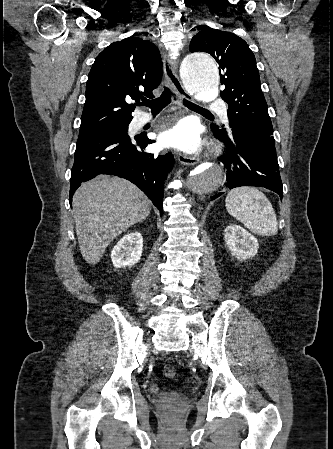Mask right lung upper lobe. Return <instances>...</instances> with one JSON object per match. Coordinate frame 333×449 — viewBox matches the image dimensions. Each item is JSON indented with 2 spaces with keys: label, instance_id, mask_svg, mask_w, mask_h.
I'll return each instance as SVG.
<instances>
[{
  "label": "right lung upper lobe",
  "instance_id": "obj_1",
  "mask_svg": "<svg viewBox=\"0 0 333 449\" xmlns=\"http://www.w3.org/2000/svg\"><path fill=\"white\" fill-rule=\"evenodd\" d=\"M161 76L155 45L133 36L112 43L97 56L88 75L80 129L130 122L132 105L126 101H139L141 95L153 98Z\"/></svg>",
  "mask_w": 333,
  "mask_h": 449
}]
</instances>
